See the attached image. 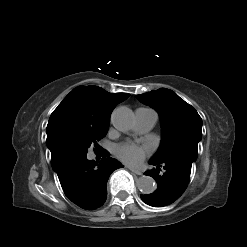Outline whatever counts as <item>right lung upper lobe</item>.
I'll return each mask as SVG.
<instances>
[{"mask_svg":"<svg viewBox=\"0 0 247 247\" xmlns=\"http://www.w3.org/2000/svg\"><path fill=\"white\" fill-rule=\"evenodd\" d=\"M129 97L127 93H109L104 89L90 85L73 89L51 114L47 125L46 144L51 154L56 152L51 141V126L55 116L63 109H73L78 114L94 120L109 121L113 108Z\"/></svg>","mask_w":247,"mask_h":247,"instance_id":"obj_1","label":"right lung upper lobe"}]
</instances>
